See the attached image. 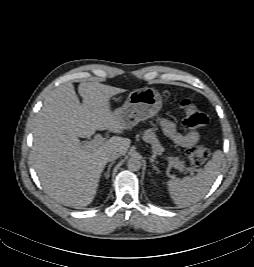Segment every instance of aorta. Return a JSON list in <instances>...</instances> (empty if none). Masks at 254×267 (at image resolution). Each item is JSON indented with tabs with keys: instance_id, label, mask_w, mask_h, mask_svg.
<instances>
[{
	"instance_id": "aorta-1",
	"label": "aorta",
	"mask_w": 254,
	"mask_h": 267,
	"mask_svg": "<svg viewBox=\"0 0 254 267\" xmlns=\"http://www.w3.org/2000/svg\"><path fill=\"white\" fill-rule=\"evenodd\" d=\"M141 160L137 156H131L127 161V167L130 171H138L141 168Z\"/></svg>"
}]
</instances>
